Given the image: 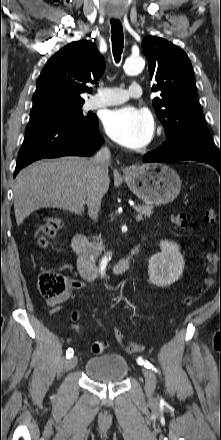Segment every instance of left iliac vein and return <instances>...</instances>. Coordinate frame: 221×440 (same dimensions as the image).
Listing matches in <instances>:
<instances>
[{"mask_svg":"<svg viewBox=\"0 0 221 440\" xmlns=\"http://www.w3.org/2000/svg\"><path fill=\"white\" fill-rule=\"evenodd\" d=\"M142 372L145 378L146 394L151 397L156 388V376L152 370L147 368H143Z\"/></svg>","mask_w":221,"mask_h":440,"instance_id":"1","label":"left iliac vein"}]
</instances>
